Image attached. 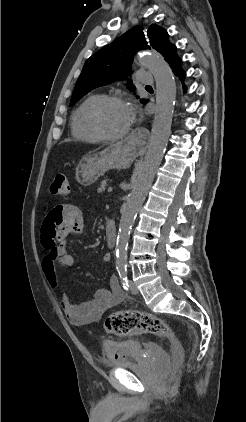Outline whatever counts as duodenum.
I'll list each match as a JSON object with an SVG mask.
<instances>
[{
    "instance_id": "obj_1",
    "label": "duodenum",
    "mask_w": 246,
    "mask_h": 422,
    "mask_svg": "<svg viewBox=\"0 0 246 422\" xmlns=\"http://www.w3.org/2000/svg\"><path fill=\"white\" fill-rule=\"evenodd\" d=\"M105 240L109 248L113 249L116 245V226L111 220H108L105 225Z\"/></svg>"
}]
</instances>
